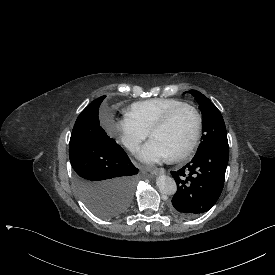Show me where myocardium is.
<instances>
[{
    "label": "myocardium",
    "instance_id": "obj_1",
    "mask_svg": "<svg viewBox=\"0 0 275 275\" xmlns=\"http://www.w3.org/2000/svg\"><path fill=\"white\" fill-rule=\"evenodd\" d=\"M183 110H189L192 113L194 117V132L189 143L182 150L177 152L175 155L170 156L171 161H178L187 157L197 145L201 135V129H202V121L197 109L194 106L189 104H184V105L175 107L172 110H170L160 121H158L149 132L150 137L152 138L155 132L167 128L171 124L173 118Z\"/></svg>",
    "mask_w": 275,
    "mask_h": 275
}]
</instances>
